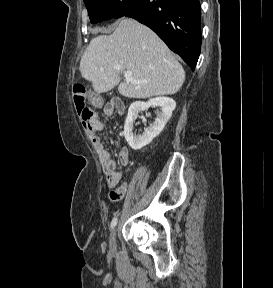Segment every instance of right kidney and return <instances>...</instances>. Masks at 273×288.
Listing matches in <instances>:
<instances>
[{
  "label": "right kidney",
  "mask_w": 273,
  "mask_h": 288,
  "mask_svg": "<svg viewBox=\"0 0 273 288\" xmlns=\"http://www.w3.org/2000/svg\"><path fill=\"white\" fill-rule=\"evenodd\" d=\"M150 107L158 108V114L153 123L145 128L140 135H134L133 123L138 117V114L147 110ZM176 107V102L169 97H156L147 102H134L128 109V115L124 125V136L129 146L134 150H140L150 144L164 129L169 121L173 110Z\"/></svg>",
  "instance_id": "ca27d5eb"
}]
</instances>
